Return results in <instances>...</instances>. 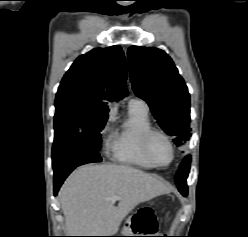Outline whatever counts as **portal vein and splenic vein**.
<instances>
[{"mask_svg": "<svg viewBox=\"0 0 248 237\" xmlns=\"http://www.w3.org/2000/svg\"><path fill=\"white\" fill-rule=\"evenodd\" d=\"M118 199H119L118 196H112V197L110 198V201H111V202H116Z\"/></svg>", "mask_w": 248, "mask_h": 237, "instance_id": "1", "label": "portal vein and splenic vein"}]
</instances>
